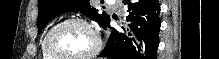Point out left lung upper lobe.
<instances>
[{
    "label": "left lung upper lobe",
    "instance_id": "obj_1",
    "mask_svg": "<svg viewBox=\"0 0 219 59\" xmlns=\"http://www.w3.org/2000/svg\"><path fill=\"white\" fill-rule=\"evenodd\" d=\"M38 8V33L44 29L54 16L63 12L80 11L102 27L110 19L105 12L99 14L98 10L91 6L89 0H39Z\"/></svg>",
    "mask_w": 219,
    "mask_h": 59
}]
</instances>
